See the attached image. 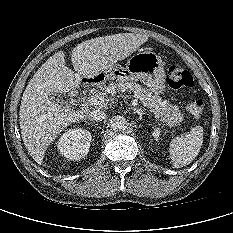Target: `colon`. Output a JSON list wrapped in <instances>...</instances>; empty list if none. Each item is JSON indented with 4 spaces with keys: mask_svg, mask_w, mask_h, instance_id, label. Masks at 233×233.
<instances>
[{
    "mask_svg": "<svg viewBox=\"0 0 233 233\" xmlns=\"http://www.w3.org/2000/svg\"><path fill=\"white\" fill-rule=\"evenodd\" d=\"M169 85L173 89L192 88L195 85L191 73L178 64H172L168 68ZM204 108V101L197 97L191 100L187 106V112L195 118L201 116Z\"/></svg>",
    "mask_w": 233,
    "mask_h": 233,
    "instance_id": "obj_1",
    "label": "colon"
}]
</instances>
